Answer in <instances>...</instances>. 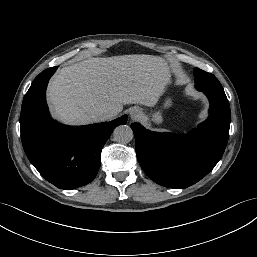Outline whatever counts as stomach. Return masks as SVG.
Wrapping results in <instances>:
<instances>
[{
    "mask_svg": "<svg viewBox=\"0 0 257 257\" xmlns=\"http://www.w3.org/2000/svg\"><path fill=\"white\" fill-rule=\"evenodd\" d=\"M171 104H172L171 99H167L166 102H165V104H164V107H165V108H168V107L171 106ZM149 118L151 119V121H153V122H155V123H157V124H159V123L162 122V114H161L160 111L155 112V113L149 115Z\"/></svg>",
    "mask_w": 257,
    "mask_h": 257,
    "instance_id": "0dacf381",
    "label": "stomach"
}]
</instances>
